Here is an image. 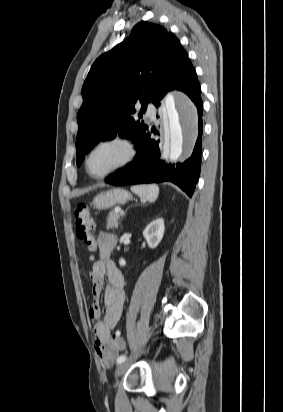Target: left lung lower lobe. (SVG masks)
<instances>
[{
  "label": "left lung lower lobe",
  "mask_w": 283,
  "mask_h": 412,
  "mask_svg": "<svg viewBox=\"0 0 283 412\" xmlns=\"http://www.w3.org/2000/svg\"><path fill=\"white\" fill-rule=\"evenodd\" d=\"M175 89L186 93L198 110L199 133L193 153L184 163L165 164L160 160L159 140L152 133L156 131L149 126L131 140L135 141L138 153L135 159L106 179L112 185H128L140 183L172 182L179 186L189 197H192L200 175L201 136H202V99L201 88L195 69L182 77Z\"/></svg>",
  "instance_id": "1"
}]
</instances>
